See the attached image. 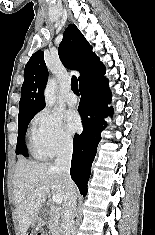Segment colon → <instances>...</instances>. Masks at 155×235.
<instances>
[{
  "instance_id": "5ec220e1",
  "label": "colon",
  "mask_w": 155,
  "mask_h": 235,
  "mask_svg": "<svg viewBox=\"0 0 155 235\" xmlns=\"http://www.w3.org/2000/svg\"><path fill=\"white\" fill-rule=\"evenodd\" d=\"M26 235H45L44 233H41V232H30Z\"/></svg>"
}]
</instances>
